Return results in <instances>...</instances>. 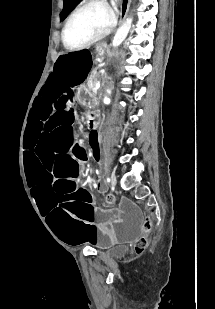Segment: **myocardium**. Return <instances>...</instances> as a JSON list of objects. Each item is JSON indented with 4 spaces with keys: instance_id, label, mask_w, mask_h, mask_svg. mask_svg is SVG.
Returning a JSON list of instances; mask_svg holds the SVG:
<instances>
[{
    "instance_id": "obj_1",
    "label": "myocardium",
    "mask_w": 215,
    "mask_h": 309,
    "mask_svg": "<svg viewBox=\"0 0 215 309\" xmlns=\"http://www.w3.org/2000/svg\"><path fill=\"white\" fill-rule=\"evenodd\" d=\"M91 8H99L103 11H106L108 8L105 4H101V3H97V4H87L84 6H81L79 8H77L75 11L72 12V14L68 17V19L66 20L62 32H61V39L63 42V45L65 48H89L90 46H92L96 41H98L100 38H107L108 34H113V29H114V25L116 24L115 21V15H113V10L109 9L108 13L112 14V15H108V22L104 23L103 27H94L91 36L94 39H89L88 42L78 45V46H70L67 43L66 40V35H67V31L68 28L70 26V24L72 23V21L74 20V18L81 12L87 10V9H91Z\"/></svg>"
}]
</instances>
